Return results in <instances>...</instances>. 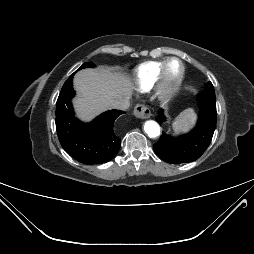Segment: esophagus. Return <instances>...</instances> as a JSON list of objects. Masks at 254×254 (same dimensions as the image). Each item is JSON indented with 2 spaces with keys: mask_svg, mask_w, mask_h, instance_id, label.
I'll return each instance as SVG.
<instances>
[{
  "mask_svg": "<svg viewBox=\"0 0 254 254\" xmlns=\"http://www.w3.org/2000/svg\"><path fill=\"white\" fill-rule=\"evenodd\" d=\"M133 113L139 119H147L151 116L150 109L144 104H137Z\"/></svg>",
  "mask_w": 254,
  "mask_h": 254,
  "instance_id": "34e87169",
  "label": "esophagus"
}]
</instances>
